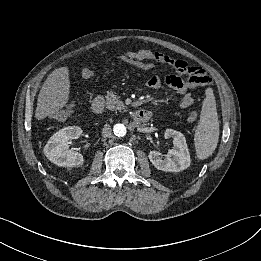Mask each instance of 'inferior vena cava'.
Listing matches in <instances>:
<instances>
[{
	"label": "inferior vena cava",
	"mask_w": 261,
	"mask_h": 261,
	"mask_svg": "<svg viewBox=\"0 0 261 261\" xmlns=\"http://www.w3.org/2000/svg\"><path fill=\"white\" fill-rule=\"evenodd\" d=\"M112 135V129L109 124H105L102 129V136L103 137H110Z\"/></svg>",
	"instance_id": "602c4592"
}]
</instances>
